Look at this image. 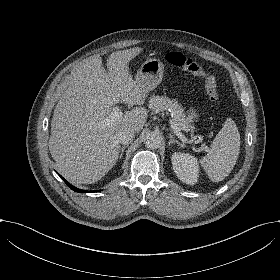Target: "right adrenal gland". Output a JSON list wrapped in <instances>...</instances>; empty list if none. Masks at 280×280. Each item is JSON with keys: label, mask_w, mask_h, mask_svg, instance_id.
I'll list each match as a JSON object with an SVG mask.
<instances>
[{"label": "right adrenal gland", "mask_w": 280, "mask_h": 280, "mask_svg": "<svg viewBox=\"0 0 280 280\" xmlns=\"http://www.w3.org/2000/svg\"><path fill=\"white\" fill-rule=\"evenodd\" d=\"M125 149H126V146L121 147V153L119 155V158H122Z\"/></svg>", "instance_id": "2a0ac1e0"}]
</instances>
